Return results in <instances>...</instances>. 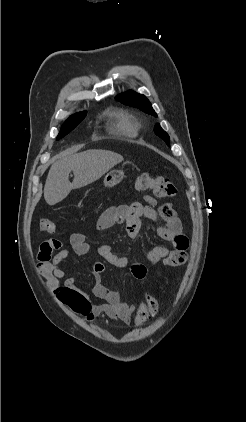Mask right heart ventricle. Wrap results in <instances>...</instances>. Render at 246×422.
Masks as SVG:
<instances>
[{"mask_svg":"<svg viewBox=\"0 0 246 422\" xmlns=\"http://www.w3.org/2000/svg\"><path fill=\"white\" fill-rule=\"evenodd\" d=\"M108 117V129L110 132L127 137L137 136L139 124L130 113L122 110H112L109 112Z\"/></svg>","mask_w":246,"mask_h":422,"instance_id":"1","label":"right heart ventricle"}]
</instances>
